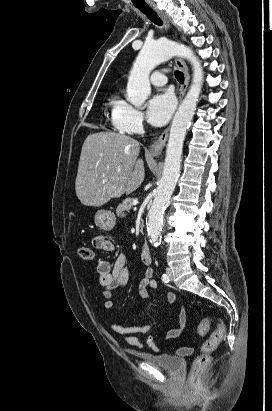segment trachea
Here are the masks:
<instances>
[{"mask_svg":"<svg viewBox=\"0 0 272 411\" xmlns=\"http://www.w3.org/2000/svg\"><path fill=\"white\" fill-rule=\"evenodd\" d=\"M137 8L144 13L153 23L162 26L163 22L159 16L149 6H137ZM175 77L179 83H184V74L180 71H175Z\"/></svg>","mask_w":272,"mask_h":411,"instance_id":"1","label":"trachea"}]
</instances>
